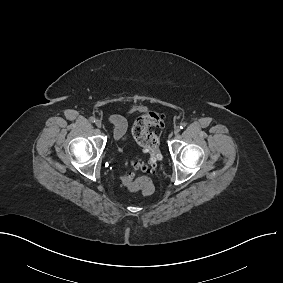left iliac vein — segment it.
Listing matches in <instances>:
<instances>
[{"label":"left iliac vein","instance_id":"1","mask_svg":"<svg viewBox=\"0 0 283 283\" xmlns=\"http://www.w3.org/2000/svg\"><path fill=\"white\" fill-rule=\"evenodd\" d=\"M179 132H180L179 127H176V128L174 129V134H178Z\"/></svg>","mask_w":283,"mask_h":283}]
</instances>
